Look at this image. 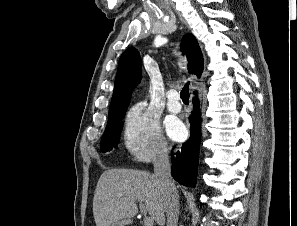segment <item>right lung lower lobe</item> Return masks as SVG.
Segmentation results:
<instances>
[{"mask_svg": "<svg viewBox=\"0 0 297 226\" xmlns=\"http://www.w3.org/2000/svg\"><path fill=\"white\" fill-rule=\"evenodd\" d=\"M194 111L190 116L191 135L182 145L181 152L177 153L176 158H172V176L180 184L195 187L198 171V158L200 146V126L201 119L199 114L198 99H193Z\"/></svg>", "mask_w": 297, "mask_h": 226, "instance_id": "1", "label": "right lung lower lobe"}]
</instances>
